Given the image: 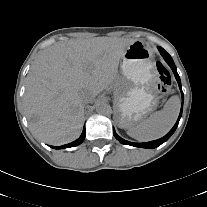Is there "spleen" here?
<instances>
[{"label":"spleen","mask_w":207,"mask_h":207,"mask_svg":"<svg viewBox=\"0 0 207 207\" xmlns=\"http://www.w3.org/2000/svg\"><path fill=\"white\" fill-rule=\"evenodd\" d=\"M180 99L172 96L160 111L147 119L135 122L127 128V134L142 142L155 140L164 136L175 124L180 111Z\"/></svg>","instance_id":"spleen-1"}]
</instances>
